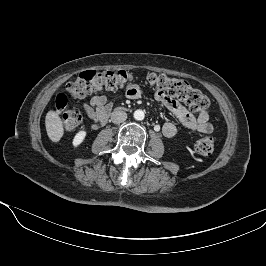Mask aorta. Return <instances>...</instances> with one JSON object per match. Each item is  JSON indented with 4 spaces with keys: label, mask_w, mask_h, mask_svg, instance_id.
I'll use <instances>...</instances> for the list:
<instances>
[{
    "label": "aorta",
    "mask_w": 266,
    "mask_h": 266,
    "mask_svg": "<svg viewBox=\"0 0 266 266\" xmlns=\"http://www.w3.org/2000/svg\"><path fill=\"white\" fill-rule=\"evenodd\" d=\"M133 116H134L135 120L141 121L144 119L145 114L142 110H136V111H134Z\"/></svg>",
    "instance_id": "762f6f07"
}]
</instances>
